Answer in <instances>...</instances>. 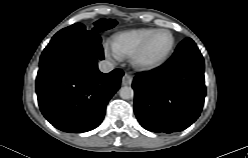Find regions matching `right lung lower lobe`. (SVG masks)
Listing matches in <instances>:
<instances>
[{"label":"right lung lower lobe","instance_id":"obj_1","mask_svg":"<svg viewBox=\"0 0 248 158\" xmlns=\"http://www.w3.org/2000/svg\"><path fill=\"white\" fill-rule=\"evenodd\" d=\"M101 38L91 31L57 33L44 49L36 78L38 103L57 129L81 133L96 128L120 88L123 71L104 74Z\"/></svg>","mask_w":248,"mask_h":158}]
</instances>
